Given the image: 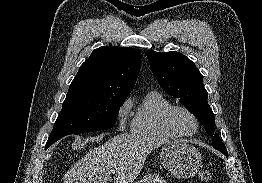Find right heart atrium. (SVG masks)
Returning a JSON list of instances; mask_svg holds the SVG:
<instances>
[{"instance_id": "obj_1", "label": "right heart atrium", "mask_w": 262, "mask_h": 183, "mask_svg": "<svg viewBox=\"0 0 262 183\" xmlns=\"http://www.w3.org/2000/svg\"><path fill=\"white\" fill-rule=\"evenodd\" d=\"M131 109V100L126 99L118 109L117 117L119 121V130H124L129 124V114Z\"/></svg>"}]
</instances>
